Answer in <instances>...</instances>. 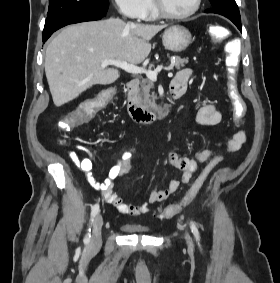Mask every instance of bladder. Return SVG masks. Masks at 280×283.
Returning <instances> with one entry per match:
<instances>
[{
  "label": "bladder",
  "mask_w": 280,
  "mask_h": 283,
  "mask_svg": "<svg viewBox=\"0 0 280 283\" xmlns=\"http://www.w3.org/2000/svg\"><path fill=\"white\" fill-rule=\"evenodd\" d=\"M122 230L127 231L131 234H148L150 228L148 226L138 225V224H123L121 226Z\"/></svg>",
  "instance_id": "bladder-1"
}]
</instances>
